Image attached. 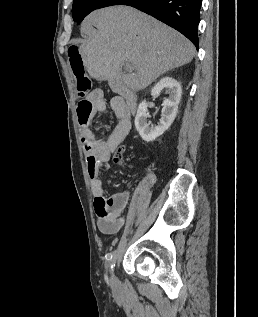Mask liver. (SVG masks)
<instances>
[{"mask_svg":"<svg viewBox=\"0 0 258 317\" xmlns=\"http://www.w3.org/2000/svg\"><path fill=\"white\" fill-rule=\"evenodd\" d=\"M80 32L88 36L79 48L88 74L108 80L112 90L146 88L195 54L194 44L183 34L124 4L93 10L82 20ZM124 62H131L129 74L121 72Z\"/></svg>","mask_w":258,"mask_h":317,"instance_id":"liver-1","label":"liver"}]
</instances>
